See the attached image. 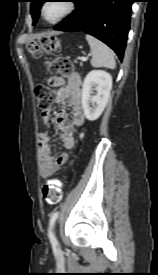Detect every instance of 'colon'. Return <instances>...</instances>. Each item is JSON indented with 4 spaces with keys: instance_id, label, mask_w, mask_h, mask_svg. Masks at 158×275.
<instances>
[{
    "instance_id": "colon-1",
    "label": "colon",
    "mask_w": 158,
    "mask_h": 275,
    "mask_svg": "<svg viewBox=\"0 0 158 275\" xmlns=\"http://www.w3.org/2000/svg\"><path fill=\"white\" fill-rule=\"evenodd\" d=\"M27 51L35 58L42 56L44 52H58L59 39L54 35H45L28 42ZM48 70L52 74L66 75L73 70V65L68 58L57 57L47 62ZM38 103L42 112L50 111L56 100V91L44 86L37 88ZM63 183L58 179H47L41 186L43 199L49 204H56L62 198Z\"/></svg>"
}]
</instances>
